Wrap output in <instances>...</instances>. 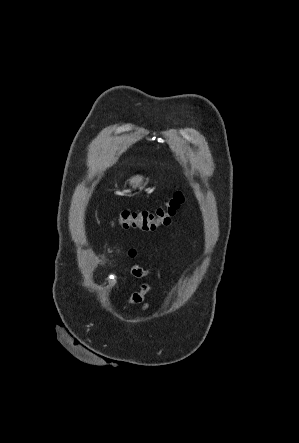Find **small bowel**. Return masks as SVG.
I'll return each mask as SVG.
<instances>
[{"instance_id": "1", "label": "small bowel", "mask_w": 299, "mask_h": 443, "mask_svg": "<svg viewBox=\"0 0 299 443\" xmlns=\"http://www.w3.org/2000/svg\"><path fill=\"white\" fill-rule=\"evenodd\" d=\"M126 256L133 259L137 256V250L132 248L126 252ZM131 274L136 278H144L150 273V269L143 268L137 264H133L130 267ZM150 286L147 283H143L138 291L133 292L127 300L128 304L141 305L143 311L148 310L149 304L145 302V296L149 293Z\"/></svg>"}]
</instances>
